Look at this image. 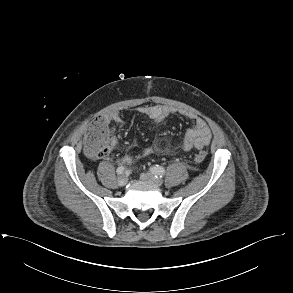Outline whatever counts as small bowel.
Returning a JSON list of instances; mask_svg holds the SVG:
<instances>
[{
	"label": "small bowel",
	"instance_id": "c3829d8e",
	"mask_svg": "<svg viewBox=\"0 0 293 293\" xmlns=\"http://www.w3.org/2000/svg\"><path fill=\"white\" fill-rule=\"evenodd\" d=\"M137 114L146 116L150 118L154 123L159 124L163 122L170 115L174 114L176 110L171 107L161 106V105H150L145 107H140L135 111ZM181 114L193 122V126L187 130L185 133L182 147L185 151H190L193 148L202 149L206 145H208L212 139V135L209 127L206 122L191 113L181 112ZM124 118V115L121 111H109L103 115V119L111 124L113 122H119ZM116 145V140L115 144ZM160 152L161 154H169L170 151L168 147L157 145L156 147L146 148L141 153L137 154V156H148L155 152ZM134 156L125 155L121 158V162L123 164H130L133 160Z\"/></svg>",
	"mask_w": 293,
	"mask_h": 293
}]
</instances>
